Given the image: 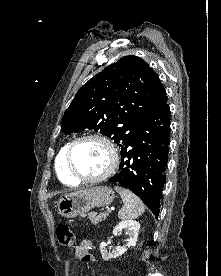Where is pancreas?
I'll use <instances>...</instances> for the list:
<instances>
[{
  "label": "pancreas",
  "mask_w": 221,
  "mask_h": 276,
  "mask_svg": "<svg viewBox=\"0 0 221 276\" xmlns=\"http://www.w3.org/2000/svg\"><path fill=\"white\" fill-rule=\"evenodd\" d=\"M108 214L100 213L97 215L96 213H90L88 214V218L90 219L92 224H98L99 222H102L103 220L106 219Z\"/></svg>",
  "instance_id": "1"
}]
</instances>
